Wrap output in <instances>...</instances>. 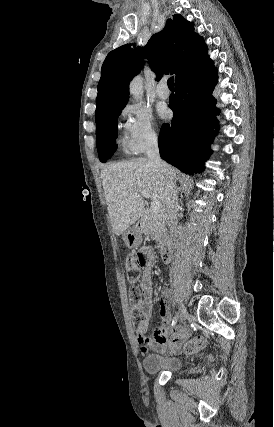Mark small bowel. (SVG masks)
Masks as SVG:
<instances>
[{
  "label": "small bowel",
  "instance_id": "c3829d8e",
  "mask_svg": "<svg viewBox=\"0 0 274 427\" xmlns=\"http://www.w3.org/2000/svg\"><path fill=\"white\" fill-rule=\"evenodd\" d=\"M146 255V263L141 271V276L137 280L142 294L141 312L142 317L136 323V333L141 351L144 355L150 352L162 354H177L189 338V331L182 329L174 332H167L171 320L169 309V295L166 291L159 296L160 324L154 330L152 337L144 336L150 326V319L153 312V283L150 268L155 261V255L151 248L143 250Z\"/></svg>",
  "mask_w": 274,
  "mask_h": 427
}]
</instances>
